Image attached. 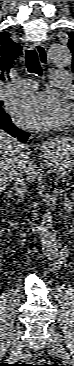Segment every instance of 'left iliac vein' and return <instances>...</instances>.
<instances>
[{"label": "left iliac vein", "instance_id": "obj_1", "mask_svg": "<svg viewBox=\"0 0 74 366\" xmlns=\"http://www.w3.org/2000/svg\"><path fill=\"white\" fill-rule=\"evenodd\" d=\"M48 333L51 336L50 343L52 345V348L58 350L62 354V358L65 363L71 364L72 360L61 342L60 335L52 327L48 328Z\"/></svg>", "mask_w": 74, "mask_h": 366}]
</instances>
